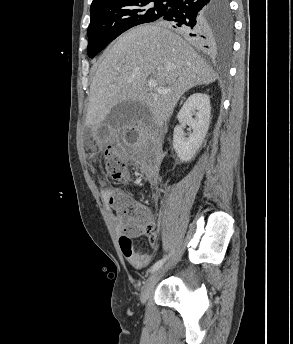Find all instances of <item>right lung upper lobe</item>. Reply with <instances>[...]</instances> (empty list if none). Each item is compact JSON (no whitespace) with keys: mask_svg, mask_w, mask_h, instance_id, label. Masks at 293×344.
Segmentation results:
<instances>
[{"mask_svg":"<svg viewBox=\"0 0 293 344\" xmlns=\"http://www.w3.org/2000/svg\"><path fill=\"white\" fill-rule=\"evenodd\" d=\"M114 1H117V0H93L92 4H91V9L97 7V6H100V5H103V4H107V3H111V2H114ZM213 46H214V43H213Z\"/></svg>","mask_w":293,"mask_h":344,"instance_id":"obj_1","label":"right lung upper lobe"}]
</instances>
